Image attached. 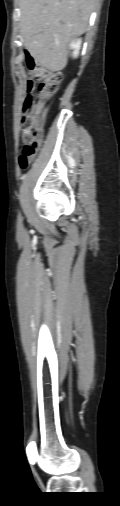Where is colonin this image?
<instances>
[{
  "label": "colon",
  "instance_id": "obj_1",
  "mask_svg": "<svg viewBox=\"0 0 120 506\" xmlns=\"http://www.w3.org/2000/svg\"><path fill=\"white\" fill-rule=\"evenodd\" d=\"M23 62L27 64L29 75L37 83V93L28 95L23 105L21 134L23 147L19 165L26 170L35 158L43 139V124L47 114L46 103L56 93L62 80L60 72L50 71L35 63V57L29 50L22 52ZM32 82L30 79L28 83Z\"/></svg>",
  "mask_w": 120,
  "mask_h": 506
}]
</instances>
